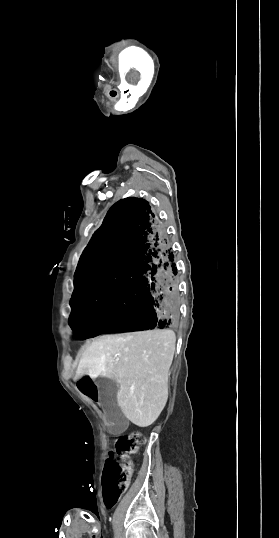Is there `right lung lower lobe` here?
<instances>
[{
	"label": "right lung lower lobe",
	"instance_id": "obj_1",
	"mask_svg": "<svg viewBox=\"0 0 279 538\" xmlns=\"http://www.w3.org/2000/svg\"><path fill=\"white\" fill-rule=\"evenodd\" d=\"M169 237L144 199L115 203L78 263L69 324L81 338L164 329L179 322Z\"/></svg>",
	"mask_w": 279,
	"mask_h": 538
}]
</instances>
